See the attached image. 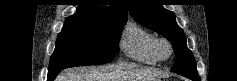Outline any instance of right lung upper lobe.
I'll return each instance as SVG.
<instances>
[{"label": "right lung upper lobe", "instance_id": "right-lung-upper-lobe-1", "mask_svg": "<svg viewBox=\"0 0 237 81\" xmlns=\"http://www.w3.org/2000/svg\"><path fill=\"white\" fill-rule=\"evenodd\" d=\"M89 1V0H82ZM80 8L76 14L67 17L66 21H83L97 23H111L127 20L126 5H110L108 8H93L91 4L84 3L79 5ZM98 6V5H95Z\"/></svg>", "mask_w": 237, "mask_h": 81}]
</instances>
